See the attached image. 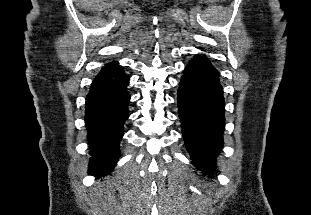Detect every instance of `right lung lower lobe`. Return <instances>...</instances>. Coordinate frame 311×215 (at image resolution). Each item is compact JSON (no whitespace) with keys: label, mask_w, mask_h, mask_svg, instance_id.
<instances>
[{"label":"right lung lower lobe","mask_w":311,"mask_h":215,"mask_svg":"<svg viewBox=\"0 0 311 215\" xmlns=\"http://www.w3.org/2000/svg\"><path fill=\"white\" fill-rule=\"evenodd\" d=\"M129 77L117 62L106 64L97 74L86 96L85 123L92 155L89 174L107 175L114 168L119 143L128 118Z\"/></svg>","instance_id":"1"}]
</instances>
